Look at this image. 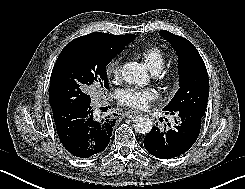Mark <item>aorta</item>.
Listing matches in <instances>:
<instances>
[{
    "instance_id": "aorta-1",
    "label": "aorta",
    "mask_w": 245,
    "mask_h": 189,
    "mask_svg": "<svg viewBox=\"0 0 245 189\" xmlns=\"http://www.w3.org/2000/svg\"><path fill=\"white\" fill-rule=\"evenodd\" d=\"M122 76L126 82L139 86H145L149 82L148 72L137 62L126 63L122 68ZM152 126V121L146 116H138L133 122L134 130L140 134L149 133Z\"/></svg>"
}]
</instances>
